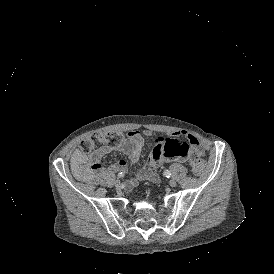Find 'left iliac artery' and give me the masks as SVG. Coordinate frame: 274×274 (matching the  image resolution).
Listing matches in <instances>:
<instances>
[{"label":"left iliac artery","instance_id":"left-iliac-artery-1","mask_svg":"<svg viewBox=\"0 0 274 274\" xmlns=\"http://www.w3.org/2000/svg\"><path fill=\"white\" fill-rule=\"evenodd\" d=\"M163 175H164L165 177H167V178H170L171 172H170L169 170H165L164 173H163Z\"/></svg>","mask_w":274,"mask_h":274}]
</instances>
